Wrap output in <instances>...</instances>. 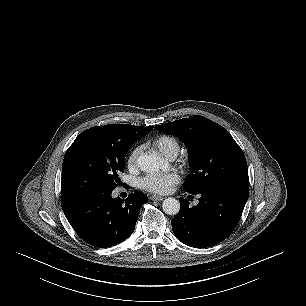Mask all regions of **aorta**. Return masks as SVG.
<instances>
[{
    "label": "aorta",
    "mask_w": 306,
    "mask_h": 306,
    "mask_svg": "<svg viewBox=\"0 0 306 306\" xmlns=\"http://www.w3.org/2000/svg\"><path fill=\"white\" fill-rule=\"evenodd\" d=\"M138 166L146 173H155L164 166V161L157 155L143 154L138 158ZM162 209L168 215H176L180 210V203L177 199L168 197L163 201Z\"/></svg>",
    "instance_id": "obj_1"
}]
</instances>
